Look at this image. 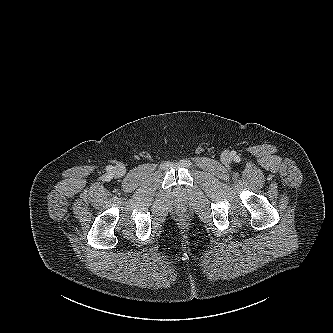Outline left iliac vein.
Instances as JSON below:
<instances>
[{
	"mask_svg": "<svg viewBox=\"0 0 333 333\" xmlns=\"http://www.w3.org/2000/svg\"><path fill=\"white\" fill-rule=\"evenodd\" d=\"M222 162H223V163H227V162H229V157H228V155H224V156L222 157Z\"/></svg>",
	"mask_w": 333,
	"mask_h": 333,
	"instance_id": "left-iliac-vein-1",
	"label": "left iliac vein"
}]
</instances>
